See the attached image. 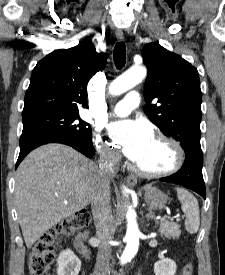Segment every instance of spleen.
Here are the masks:
<instances>
[{"label":"spleen","instance_id":"3e777b00","mask_svg":"<svg viewBox=\"0 0 225 275\" xmlns=\"http://www.w3.org/2000/svg\"><path fill=\"white\" fill-rule=\"evenodd\" d=\"M181 209L186 216L185 228L190 234H195L200 225V212L197 199L186 189L176 188Z\"/></svg>","mask_w":225,"mask_h":275}]
</instances>
